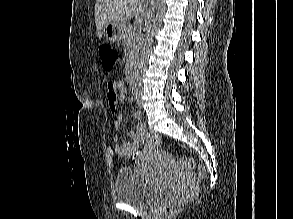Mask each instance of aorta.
I'll return each mask as SVG.
<instances>
[{
	"instance_id": "obj_1",
	"label": "aorta",
	"mask_w": 293,
	"mask_h": 219,
	"mask_svg": "<svg viewBox=\"0 0 293 219\" xmlns=\"http://www.w3.org/2000/svg\"><path fill=\"white\" fill-rule=\"evenodd\" d=\"M165 13V0H151V14L148 21L146 37L141 47L139 60L136 65V78L139 80L144 67L147 64L155 31L162 22Z\"/></svg>"
}]
</instances>
